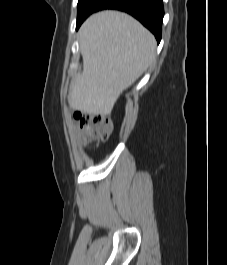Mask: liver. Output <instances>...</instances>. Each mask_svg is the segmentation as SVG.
Here are the masks:
<instances>
[{"label":"liver","mask_w":227,"mask_h":265,"mask_svg":"<svg viewBox=\"0 0 227 265\" xmlns=\"http://www.w3.org/2000/svg\"><path fill=\"white\" fill-rule=\"evenodd\" d=\"M83 72L70 86L71 108L93 115L111 113L120 94L155 58L154 36L130 15L102 11L79 30Z\"/></svg>","instance_id":"obj_1"}]
</instances>
